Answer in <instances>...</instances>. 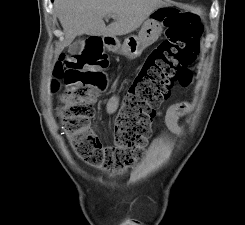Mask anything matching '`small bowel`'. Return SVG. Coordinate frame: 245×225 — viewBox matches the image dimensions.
<instances>
[{"mask_svg":"<svg viewBox=\"0 0 245 225\" xmlns=\"http://www.w3.org/2000/svg\"><path fill=\"white\" fill-rule=\"evenodd\" d=\"M120 105V97L118 94L111 95L105 102V112L107 115L112 116L116 113ZM162 111L157 109L156 116H161ZM165 123L172 134L179 135L182 127L179 123L180 115L177 113V105H170L165 111Z\"/></svg>","mask_w":245,"mask_h":225,"instance_id":"obj_1","label":"small bowel"}]
</instances>
